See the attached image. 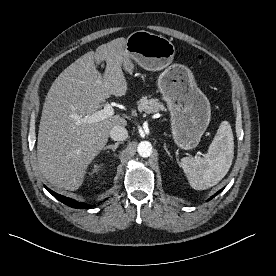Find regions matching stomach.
Listing matches in <instances>:
<instances>
[{"instance_id": "1", "label": "stomach", "mask_w": 276, "mask_h": 276, "mask_svg": "<svg viewBox=\"0 0 276 276\" xmlns=\"http://www.w3.org/2000/svg\"><path fill=\"white\" fill-rule=\"evenodd\" d=\"M174 55L175 47L170 40L139 30L126 39L122 66L130 74L134 63L149 71L164 69L157 87L170 112L172 136L179 147L190 150L198 145L209 125L211 107L191 70L172 64Z\"/></svg>"}]
</instances>
